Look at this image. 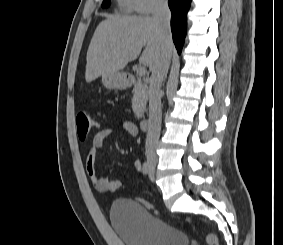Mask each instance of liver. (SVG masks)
Instances as JSON below:
<instances>
[{"label":"liver","mask_w":283,"mask_h":245,"mask_svg":"<svg viewBox=\"0 0 283 245\" xmlns=\"http://www.w3.org/2000/svg\"><path fill=\"white\" fill-rule=\"evenodd\" d=\"M140 56V63L152 72L162 56L158 24L152 17L108 16L96 28L86 56V82L110 71L123 69ZM169 49L172 53L173 43Z\"/></svg>","instance_id":"6515ba94"}]
</instances>
